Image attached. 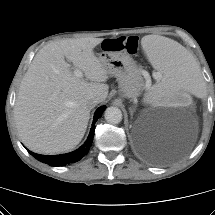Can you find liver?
<instances>
[{"label":"liver","instance_id":"obj_1","mask_svg":"<svg viewBox=\"0 0 215 215\" xmlns=\"http://www.w3.org/2000/svg\"><path fill=\"white\" fill-rule=\"evenodd\" d=\"M102 38L64 39L38 51L23 77L14 119L23 144L39 154L73 150L82 140L91 108L88 101L108 95V72L93 49ZM84 72L77 77L65 61Z\"/></svg>","mask_w":215,"mask_h":215}]
</instances>
